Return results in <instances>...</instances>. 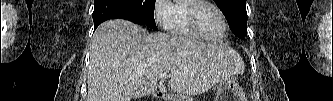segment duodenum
<instances>
[{"label": "duodenum", "instance_id": "410a0bca", "mask_svg": "<svg viewBox=\"0 0 333 101\" xmlns=\"http://www.w3.org/2000/svg\"><path fill=\"white\" fill-rule=\"evenodd\" d=\"M157 99L167 100L168 98L161 92L155 94Z\"/></svg>", "mask_w": 333, "mask_h": 101}]
</instances>
